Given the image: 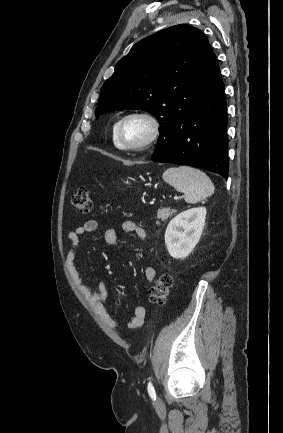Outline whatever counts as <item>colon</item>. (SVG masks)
<instances>
[{
  "mask_svg": "<svg viewBox=\"0 0 283 433\" xmlns=\"http://www.w3.org/2000/svg\"><path fill=\"white\" fill-rule=\"evenodd\" d=\"M70 205L80 214L87 215L92 209V196L87 187H80L70 198ZM173 279L170 274L160 275L149 289V300L156 305H163L170 293Z\"/></svg>",
  "mask_w": 283,
  "mask_h": 433,
  "instance_id": "1",
  "label": "colon"
}]
</instances>
